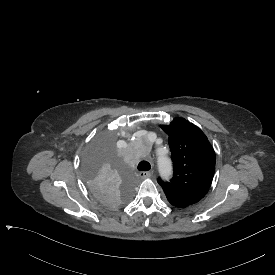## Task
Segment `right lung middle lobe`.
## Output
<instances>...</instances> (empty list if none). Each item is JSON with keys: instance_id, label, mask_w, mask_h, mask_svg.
<instances>
[{"instance_id": "obj_1", "label": "right lung middle lobe", "mask_w": 275, "mask_h": 275, "mask_svg": "<svg viewBox=\"0 0 275 275\" xmlns=\"http://www.w3.org/2000/svg\"><path fill=\"white\" fill-rule=\"evenodd\" d=\"M84 178L93 198L106 209L123 206L136 182L132 166L105 136L96 139L88 150Z\"/></svg>"}]
</instances>
